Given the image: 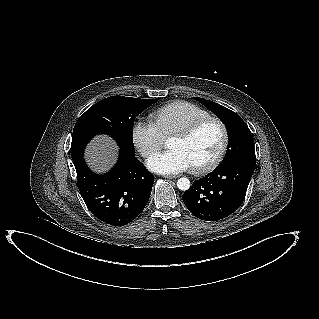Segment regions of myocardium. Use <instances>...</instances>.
<instances>
[{
	"label": "myocardium",
	"instance_id": "f54148a6",
	"mask_svg": "<svg viewBox=\"0 0 319 319\" xmlns=\"http://www.w3.org/2000/svg\"><path fill=\"white\" fill-rule=\"evenodd\" d=\"M208 123H214L219 127L220 132H221V144H220V147H219L217 154L208 163H206L204 165H200V166L190 167L191 172L194 174H197V175L211 172L223 160V158L226 154L227 148H228V143H229V134H228V130H227V127L224 124V122L222 120H220L219 118L213 117V116L200 118V119L193 121L185 128L173 133L169 137V139H172V138L181 139V140L189 139L190 137H192L196 133V131H198L201 127H203L204 125H206Z\"/></svg>",
	"mask_w": 319,
	"mask_h": 319
}]
</instances>
